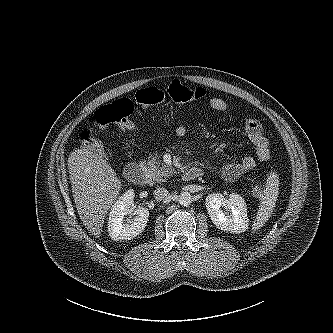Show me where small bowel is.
<instances>
[{"instance_id":"1","label":"small bowel","mask_w":333,"mask_h":333,"mask_svg":"<svg viewBox=\"0 0 333 333\" xmlns=\"http://www.w3.org/2000/svg\"><path fill=\"white\" fill-rule=\"evenodd\" d=\"M209 106L217 112H227L229 104L222 98L213 97L209 100ZM244 129L250 142L255 147V156L246 155L239 161L225 163L221 167L223 177L228 181H235L245 173L253 170L260 163L269 159V141L265 136L264 129L259 121L253 118L244 119ZM176 135L182 137L187 133V127L180 124L176 127Z\"/></svg>"}]
</instances>
